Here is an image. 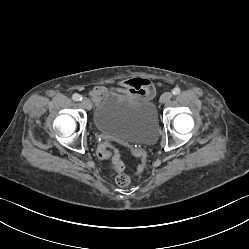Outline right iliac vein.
<instances>
[{
    "mask_svg": "<svg viewBox=\"0 0 249 249\" xmlns=\"http://www.w3.org/2000/svg\"><path fill=\"white\" fill-rule=\"evenodd\" d=\"M81 103L88 110H90L91 107H92L91 102H90V100L88 98H83Z\"/></svg>",
    "mask_w": 249,
    "mask_h": 249,
    "instance_id": "right-iliac-vein-1",
    "label": "right iliac vein"
}]
</instances>
